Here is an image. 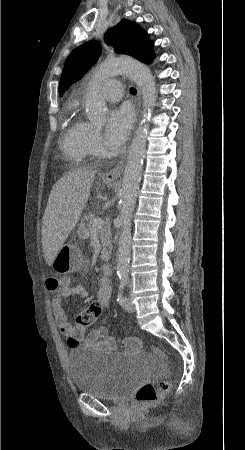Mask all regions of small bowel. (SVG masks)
Returning <instances> with one entry per match:
<instances>
[{"instance_id": "1", "label": "small bowel", "mask_w": 245, "mask_h": 450, "mask_svg": "<svg viewBox=\"0 0 245 450\" xmlns=\"http://www.w3.org/2000/svg\"><path fill=\"white\" fill-rule=\"evenodd\" d=\"M110 295V279L104 276L101 278L97 294L98 302L102 308L108 307ZM69 296H77L82 299H87L89 297V291L81 284L71 285L69 282L60 291L51 294L52 315L60 330L65 334L71 333L73 329V326L68 321L63 307L64 298ZM114 344L113 338L108 335L107 331L103 328H99L90 332L79 346L83 348L110 349L114 346ZM70 348L75 347L70 346Z\"/></svg>"}]
</instances>
